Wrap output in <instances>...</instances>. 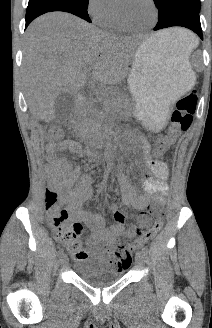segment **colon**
Wrapping results in <instances>:
<instances>
[{
  "label": "colon",
  "mask_w": 212,
  "mask_h": 328,
  "mask_svg": "<svg viewBox=\"0 0 212 328\" xmlns=\"http://www.w3.org/2000/svg\"><path fill=\"white\" fill-rule=\"evenodd\" d=\"M198 102L197 90H191L181 97L172 115V123L166 135L158 139L155 145L157 157H161L191 126ZM62 139L60 129L54 128L48 134L49 144H58ZM46 210L49 212L50 223L57 231L58 239L66 246L75 258H80L85 254L80 241L82 226L74 224L70 226L66 223L68 213L66 210H59L58 194L48 189L46 191ZM161 204L156 203L148 207L147 214L154 219V222L144 230H137L132 243H122L121 249L115 252L114 262L121 269H127L131 265L130 251L150 237L154 236L163 225V211Z\"/></svg>",
  "instance_id": "5ec220e1"
}]
</instances>
